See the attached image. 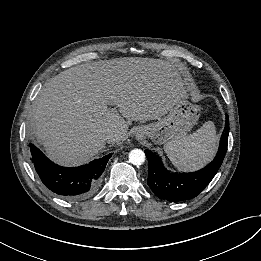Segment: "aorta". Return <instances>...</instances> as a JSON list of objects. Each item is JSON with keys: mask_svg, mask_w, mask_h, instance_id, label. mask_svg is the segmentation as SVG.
<instances>
[{"mask_svg": "<svg viewBox=\"0 0 261 261\" xmlns=\"http://www.w3.org/2000/svg\"><path fill=\"white\" fill-rule=\"evenodd\" d=\"M145 161V154L140 149H133L129 153V162L133 165H142Z\"/></svg>", "mask_w": 261, "mask_h": 261, "instance_id": "obj_1", "label": "aorta"}]
</instances>
